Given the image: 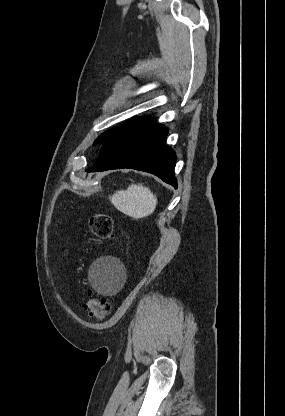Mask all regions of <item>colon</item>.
I'll list each match as a JSON object with an SVG mask.
<instances>
[{"label": "colon", "instance_id": "colon-1", "mask_svg": "<svg viewBox=\"0 0 285 416\" xmlns=\"http://www.w3.org/2000/svg\"><path fill=\"white\" fill-rule=\"evenodd\" d=\"M89 228L97 239L106 240L113 234V220L108 214H95L89 219ZM87 307L90 315L97 320H103L111 311L110 303L96 292L89 293Z\"/></svg>", "mask_w": 285, "mask_h": 416}]
</instances>
